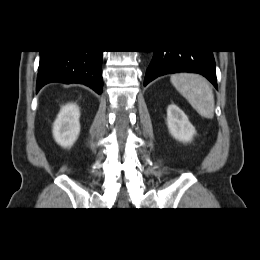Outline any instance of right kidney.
I'll return each mask as SVG.
<instances>
[{"label":"right kidney","mask_w":260,"mask_h":260,"mask_svg":"<svg viewBox=\"0 0 260 260\" xmlns=\"http://www.w3.org/2000/svg\"><path fill=\"white\" fill-rule=\"evenodd\" d=\"M80 111L74 103H68L60 110L54 124L53 137L62 147H71L80 133Z\"/></svg>","instance_id":"ca27d5eb"}]
</instances>
